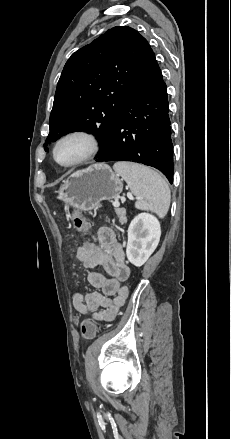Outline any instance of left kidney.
<instances>
[{
  "instance_id": "5707ae66",
  "label": "left kidney",
  "mask_w": 231,
  "mask_h": 439,
  "mask_svg": "<svg viewBox=\"0 0 231 439\" xmlns=\"http://www.w3.org/2000/svg\"><path fill=\"white\" fill-rule=\"evenodd\" d=\"M160 236L158 219L149 213L138 214L128 228L126 255L129 262L142 266L158 246Z\"/></svg>"
}]
</instances>
